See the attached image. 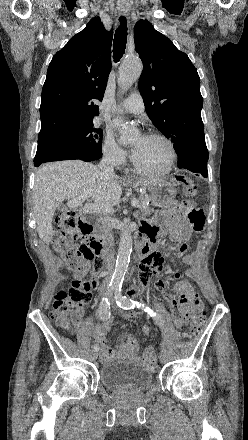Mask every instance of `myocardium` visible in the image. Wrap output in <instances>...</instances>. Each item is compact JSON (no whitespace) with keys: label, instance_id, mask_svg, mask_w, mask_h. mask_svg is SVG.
<instances>
[{"label":"myocardium","instance_id":"myocardium-1","mask_svg":"<svg viewBox=\"0 0 248 440\" xmlns=\"http://www.w3.org/2000/svg\"><path fill=\"white\" fill-rule=\"evenodd\" d=\"M146 137L160 139L161 141H163L167 145L168 150H169L168 162H167L166 166L162 169L148 170V169H144V168H141L140 166H138L135 163L134 159L132 158L131 162H132L133 169L137 173L145 175V176L158 177V176H163V175L168 174L172 170V168L175 164L176 158H177V152H176V148H175L173 141L169 137H167L166 135H164L160 132H156V131L148 133L146 135Z\"/></svg>","mask_w":248,"mask_h":440}]
</instances>
